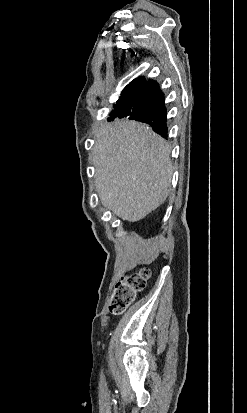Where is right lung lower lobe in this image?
Returning <instances> with one entry per match:
<instances>
[{
	"instance_id": "98d812e1",
	"label": "right lung lower lobe",
	"mask_w": 247,
	"mask_h": 413,
	"mask_svg": "<svg viewBox=\"0 0 247 413\" xmlns=\"http://www.w3.org/2000/svg\"><path fill=\"white\" fill-rule=\"evenodd\" d=\"M135 87L134 99H119L114 105L108 121L115 118H128L143 122L162 137H167L166 108L164 94L156 82L143 81L142 78L131 82Z\"/></svg>"
}]
</instances>
